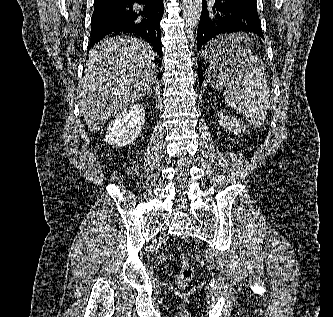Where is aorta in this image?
<instances>
[{
  "label": "aorta",
  "mask_w": 333,
  "mask_h": 317,
  "mask_svg": "<svg viewBox=\"0 0 333 317\" xmlns=\"http://www.w3.org/2000/svg\"><path fill=\"white\" fill-rule=\"evenodd\" d=\"M183 16L190 28H195L202 13V0H182Z\"/></svg>",
  "instance_id": "1"
}]
</instances>
